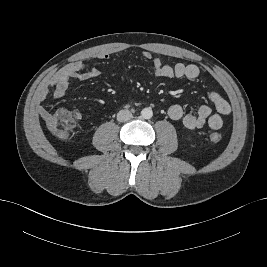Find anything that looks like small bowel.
I'll list each match as a JSON object with an SVG mask.
<instances>
[{
	"instance_id": "obj_1",
	"label": "small bowel",
	"mask_w": 267,
	"mask_h": 267,
	"mask_svg": "<svg viewBox=\"0 0 267 267\" xmlns=\"http://www.w3.org/2000/svg\"><path fill=\"white\" fill-rule=\"evenodd\" d=\"M142 56L145 60L152 62L154 74L157 77L195 80L200 76V69L194 64L177 63L173 66L167 65L147 51L143 52ZM97 57L107 59L109 56L102 53ZM99 75L100 71L97 68L87 67L80 61L69 63L50 80L42 90L40 98L45 99L50 93L55 97H62L66 94L71 80H89ZM208 98L214 105V112H212V108L209 105H202L199 107L197 114H185L183 108L176 104L168 109V115L173 120H182L183 125L190 130L199 129L205 125H208L213 130H218L222 127L224 119L230 114L231 108L220 92L214 88L209 90ZM38 113L44 120L51 114L43 107L38 108Z\"/></svg>"
}]
</instances>
